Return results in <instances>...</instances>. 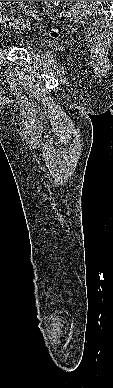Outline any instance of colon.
<instances>
[{"label": "colon", "instance_id": "1", "mask_svg": "<svg viewBox=\"0 0 113 388\" xmlns=\"http://www.w3.org/2000/svg\"><path fill=\"white\" fill-rule=\"evenodd\" d=\"M2 5L0 4V25L11 27L19 24L22 19L19 15H6L1 12ZM33 16H37L36 13H33ZM52 36L58 35V30L54 28L51 32Z\"/></svg>", "mask_w": 113, "mask_h": 388}]
</instances>
